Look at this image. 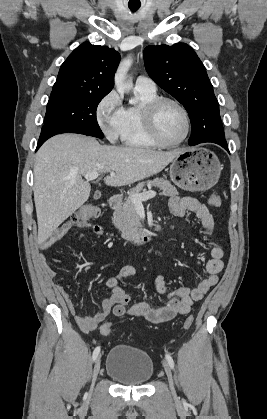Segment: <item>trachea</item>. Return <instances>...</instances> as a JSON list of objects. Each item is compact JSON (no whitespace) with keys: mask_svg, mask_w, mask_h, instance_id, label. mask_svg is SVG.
<instances>
[{"mask_svg":"<svg viewBox=\"0 0 267 419\" xmlns=\"http://www.w3.org/2000/svg\"><path fill=\"white\" fill-rule=\"evenodd\" d=\"M139 8H140V6H129V9H130L132 12H136Z\"/></svg>","mask_w":267,"mask_h":419,"instance_id":"obj_1","label":"trachea"}]
</instances>
